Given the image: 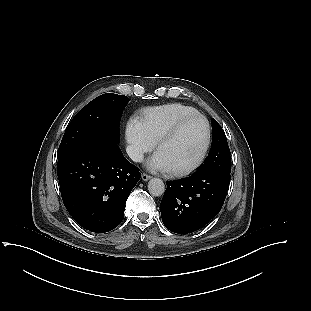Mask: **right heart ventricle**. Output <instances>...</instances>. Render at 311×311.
Masks as SVG:
<instances>
[{"label": "right heart ventricle", "instance_id": "right-heart-ventricle-1", "mask_svg": "<svg viewBox=\"0 0 311 311\" xmlns=\"http://www.w3.org/2000/svg\"><path fill=\"white\" fill-rule=\"evenodd\" d=\"M193 113H197V110L191 106L170 103L144 109L141 113V122L155 143L178 119Z\"/></svg>", "mask_w": 311, "mask_h": 311}]
</instances>
